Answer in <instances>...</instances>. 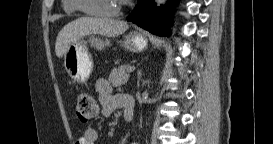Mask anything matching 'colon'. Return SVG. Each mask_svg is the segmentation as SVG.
<instances>
[{
	"instance_id": "obj_1",
	"label": "colon",
	"mask_w": 273,
	"mask_h": 144,
	"mask_svg": "<svg viewBox=\"0 0 273 144\" xmlns=\"http://www.w3.org/2000/svg\"><path fill=\"white\" fill-rule=\"evenodd\" d=\"M99 111L96 99L89 93H80L77 98L76 114L78 119L86 123L94 118Z\"/></svg>"
}]
</instances>
